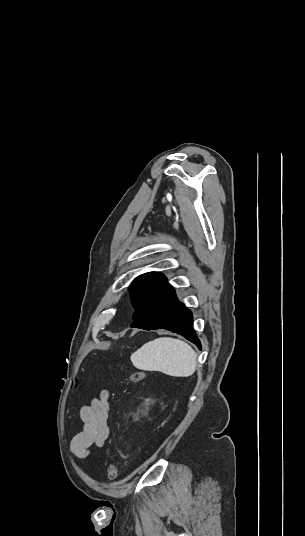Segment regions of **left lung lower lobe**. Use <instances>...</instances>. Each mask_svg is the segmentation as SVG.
<instances>
[{"mask_svg": "<svg viewBox=\"0 0 305 536\" xmlns=\"http://www.w3.org/2000/svg\"><path fill=\"white\" fill-rule=\"evenodd\" d=\"M131 327L170 330L184 336L201 349V343L193 329L192 313L178 301L171 285L158 291L135 310Z\"/></svg>", "mask_w": 305, "mask_h": 536, "instance_id": "obj_1", "label": "left lung lower lobe"}]
</instances>
